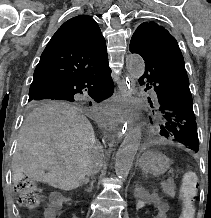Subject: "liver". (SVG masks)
I'll return each mask as SVG.
<instances>
[{"instance_id":"obj_1","label":"liver","mask_w":211,"mask_h":218,"mask_svg":"<svg viewBox=\"0 0 211 218\" xmlns=\"http://www.w3.org/2000/svg\"><path fill=\"white\" fill-rule=\"evenodd\" d=\"M99 158L94 130L74 106L50 104L36 108L20 128L19 170L24 168L35 182L74 190L96 170Z\"/></svg>"}]
</instances>
